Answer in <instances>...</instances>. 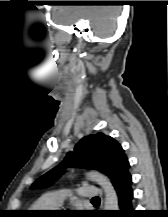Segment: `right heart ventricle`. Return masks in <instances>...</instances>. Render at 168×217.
Wrapping results in <instances>:
<instances>
[{
  "label": "right heart ventricle",
  "mask_w": 168,
  "mask_h": 217,
  "mask_svg": "<svg viewBox=\"0 0 168 217\" xmlns=\"http://www.w3.org/2000/svg\"><path fill=\"white\" fill-rule=\"evenodd\" d=\"M32 209L35 211H40V210H48V209H54V208L50 206L49 204L45 203L43 199H40L32 205Z\"/></svg>",
  "instance_id": "obj_1"
}]
</instances>
